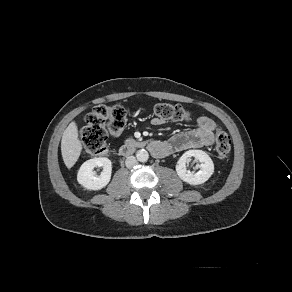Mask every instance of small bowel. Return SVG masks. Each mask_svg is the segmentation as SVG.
I'll use <instances>...</instances> for the list:
<instances>
[{
	"label": "small bowel",
	"mask_w": 292,
	"mask_h": 292,
	"mask_svg": "<svg viewBox=\"0 0 292 292\" xmlns=\"http://www.w3.org/2000/svg\"><path fill=\"white\" fill-rule=\"evenodd\" d=\"M164 120L154 117L152 124L160 126ZM215 122L207 117L200 116L197 118V127L176 134L167 141H155L151 145V151L158 157H163L172 153L184 151L187 149L201 148L210 146L214 142Z\"/></svg>",
	"instance_id": "small-bowel-1"
}]
</instances>
